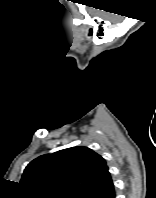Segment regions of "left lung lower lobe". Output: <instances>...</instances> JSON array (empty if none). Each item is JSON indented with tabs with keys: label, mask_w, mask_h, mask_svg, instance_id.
I'll return each mask as SVG.
<instances>
[{
	"label": "left lung lower lobe",
	"mask_w": 156,
	"mask_h": 198,
	"mask_svg": "<svg viewBox=\"0 0 156 198\" xmlns=\"http://www.w3.org/2000/svg\"><path fill=\"white\" fill-rule=\"evenodd\" d=\"M91 198H115V188L112 179L106 186L92 195Z\"/></svg>",
	"instance_id": "1"
}]
</instances>
